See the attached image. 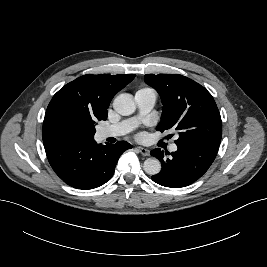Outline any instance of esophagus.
I'll return each mask as SVG.
<instances>
[{"label":"esophagus","mask_w":267,"mask_h":267,"mask_svg":"<svg viewBox=\"0 0 267 267\" xmlns=\"http://www.w3.org/2000/svg\"><path fill=\"white\" fill-rule=\"evenodd\" d=\"M137 149L139 150V152L143 155V156H149L150 152L147 148L144 147H137Z\"/></svg>","instance_id":"1"}]
</instances>
